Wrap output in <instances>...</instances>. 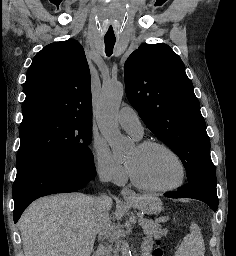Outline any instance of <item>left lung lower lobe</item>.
I'll list each match as a JSON object with an SVG mask.
<instances>
[{
	"label": "left lung lower lobe",
	"mask_w": 236,
	"mask_h": 256,
	"mask_svg": "<svg viewBox=\"0 0 236 256\" xmlns=\"http://www.w3.org/2000/svg\"><path fill=\"white\" fill-rule=\"evenodd\" d=\"M165 196L197 199L205 202L213 211H216L218 207L216 184L206 181L190 182L182 186L177 192H169Z\"/></svg>",
	"instance_id": "obj_1"
}]
</instances>
